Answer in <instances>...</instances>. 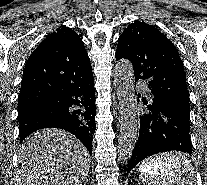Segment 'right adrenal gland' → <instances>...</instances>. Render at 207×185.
<instances>
[{"instance_id": "right-adrenal-gland-1", "label": "right adrenal gland", "mask_w": 207, "mask_h": 185, "mask_svg": "<svg viewBox=\"0 0 207 185\" xmlns=\"http://www.w3.org/2000/svg\"><path fill=\"white\" fill-rule=\"evenodd\" d=\"M83 185H88V179H83Z\"/></svg>"}]
</instances>
